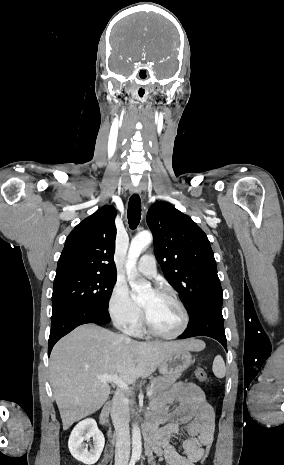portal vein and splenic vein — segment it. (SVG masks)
<instances>
[{
    "instance_id": "obj_1",
    "label": "portal vein and splenic vein",
    "mask_w": 284,
    "mask_h": 465,
    "mask_svg": "<svg viewBox=\"0 0 284 465\" xmlns=\"http://www.w3.org/2000/svg\"><path fill=\"white\" fill-rule=\"evenodd\" d=\"M96 379H99L102 383H114V385H117L120 389H124V391L130 393L128 385L123 383V381L119 379L118 375H96ZM146 395L147 397H151L152 391H147Z\"/></svg>"
}]
</instances>
